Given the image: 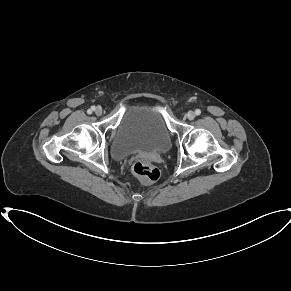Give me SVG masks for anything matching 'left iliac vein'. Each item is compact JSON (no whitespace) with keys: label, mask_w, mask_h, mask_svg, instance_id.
<instances>
[{"label":"left iliac vein","mask_w":291,"mask_h":291,"mask_svg":"<svg viewBox=\"0 0 291 291\" xmlns=\"http://www.w3.org/2000/svg\"><path fill=\"white\" fill-rule=\"evenodd\" d=\"M187 118H188L189 120H193V119L195 118V113H194L193 111H189V112L187 113Z\"/></svg>","instance_id":"left-iliac-vein-1"}]
</instances>
